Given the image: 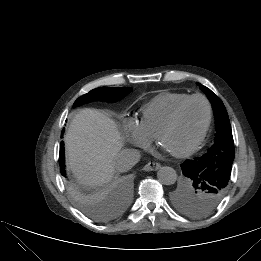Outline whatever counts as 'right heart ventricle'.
<instances>
[{"instance_id": "obj_1", "label": "right heart ventricle", "mask_w": 261, "mask_h": 261, "mask_svg": "<svg viewBox=\"0 0 261 261\" xmlns=\"http://www.w3.org/2000/svg\"><path fill=\"white\" fill-rule=\"evenodd\" d=\"M189 96L186 93L175 92L157 95L142 107L138 126L147 136L156 138L176 106Z\"/></svg>"}]
</instances>
